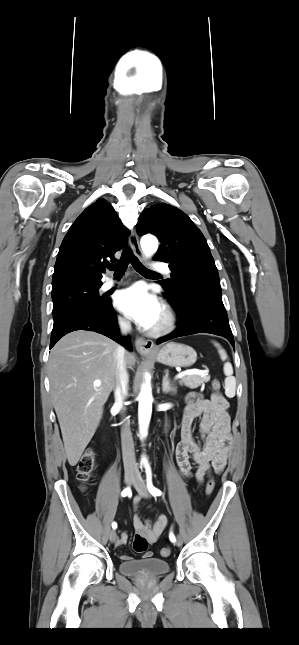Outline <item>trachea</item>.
I'll return each instance as SVG.
<instances>
[{"instance_id":"obj_1","label":"trachea","mask_w":299,"mask_h":645,"mask_svg":"<svg viewBox=\"0 0 299 645\" xmlns=\"http://www.w3.org/2000/svg\"><path fill=\"white\" fill-rule=\"evenodd\" d=\"M131 263L134 269L142 275H155L158 274L152 270L147 269L132 253L131 249L124 248L120 260L116 264H108L106 267L114 271V275L122 276L127 269L128 264Z\"/></svg>"}]
</instances>
